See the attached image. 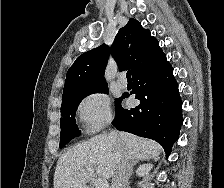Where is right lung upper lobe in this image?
<instances>
[{"label": "right lung upper lobe", "instance_id": "cb5924a9", "mask_svg": "<svg viewBox=\"0 0 224 188\" xmlns=\"http://www.w3.org/2000/svg\"><path fill=\"white\" fill-rule=\"evenodd\" d=\"M110 52L120 70L131 69L132 76L153 66L164 55L157 39L150 35L149 30L130 18L118 31L111 48L103 44L75 60L67 72L63 95L106 86L104 71Z\"/></svg>", "mask_w": 224, "mask_h": 188}]
</instances>
